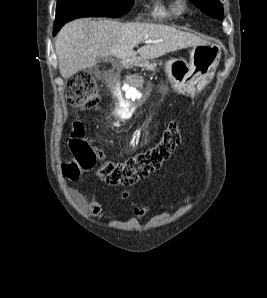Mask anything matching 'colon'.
<instances>
[{
    "label": "colon",
    "instance_id": "obj_1",
    "mask_svg": "<svg viewBox=\"0 0 267 298\" xmlns=\"http://www.w3.org/2000/svg\"><path fill=\"white\" fill-rule=\"evenodd\" d=\"M65 97L69 104L82 110L95 108L99 99L93 75L88 71H80L71 76ZM181 141L180 125L176 121H171L152 147L122 162H103L96 169V175L108 185H133L159 169L171 157ZM69 149L72 159L62 165L66 177L76 179L82 173L95 168L97 153L85 139L83 124L80 121L72 124Z\"/></svg>",
    "mask_w": 267,
    "mask_h": 298
}]
</instances>
